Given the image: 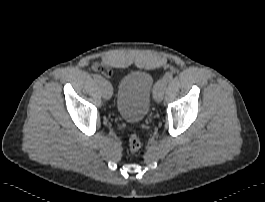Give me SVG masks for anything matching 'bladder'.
Segmentation results:
<instances>
[{"label":"bladder","mask_w":265,"mask_h":202,"mask_svg":"<svg viewBox=\"0 0 265 202\" xmlns=\"http://www.w3.org/2000/svg\"><path fill=\"white\" fill-rule=\"evenodd\" d=\"M154 91L151 75L137 71L125 75L117 89L116 108L120 117L129 123H140L145 119Z\"/></svg>","instance_id":"obj_1"}]
</instances>
